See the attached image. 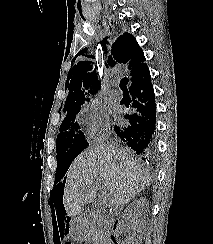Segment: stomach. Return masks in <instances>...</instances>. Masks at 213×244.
<instances>
[{
  "mask_svg": "<svg viewBox=\"0 0 213 244\" xmlns=\"http://www.w3.org/2000/svg\"><path fill=\"white\" fill-rule=\"evenodd\" d=\"M71 234L75 239H84L86 237V226L84 225V221H73L71 225Z\"/></svg>",
  "mask_w": 213,
  "mask_h": 244,
  "instance_id": "1",
  "label": "stomach"
}]
</instances>
